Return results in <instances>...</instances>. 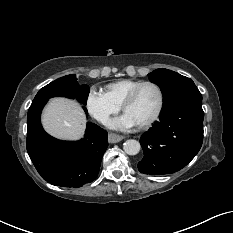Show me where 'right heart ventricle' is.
<instances>
[{"instance_id": "e07e8e85", "label": "right heart ventricle", "mask_w": 233, "mask_h": 233, "mask_svg": "<svg viewBox=\"0 0 233 233\" xmlns=\"http://www.w3.org/2000/svg\"><path fill=\"white\" fill-rule=\"evenodd\" d=\"M141 82L132 79H121L112 82L106 86V94L113 102L121 106L129 92Z\"/></svg>"}]
</instances>
